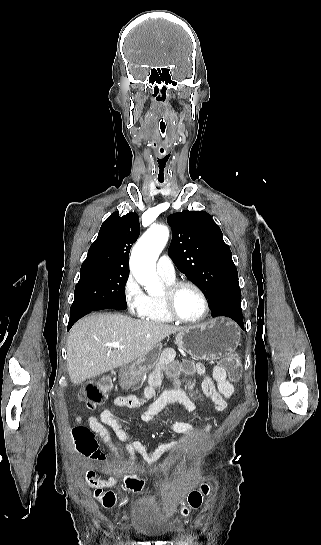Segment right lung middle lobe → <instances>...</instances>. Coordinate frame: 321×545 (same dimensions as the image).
Instances as JSON below:
<instances>
[{"label": "right lung middle lobe", "instance_id": "dd1d6c3e", "mask_svg": "<svg viewBox=\"0 0 321 545\" xmlns=\"http://www.w3.org/2000/svg\"><path fill=\"white\" fill-rule=\"evenodd\" d=\"M128 276L129 271L81 269L70 314L82 310L110 309L113 305L126 301L125 284Z\"/></svg>", "mask_w": 321, "mask_h": 545}]
</instances>
